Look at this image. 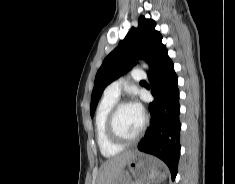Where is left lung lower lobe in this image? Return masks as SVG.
<instances>
[{
  "label": "left lung lower lobe",
  "instance_id": "1",
  "mask_svg": "<svg viewBox=\"0 0 235 184\" xmlns=\"http://www.w3.org/2000/svg\"><path fill=\"white\" fill-rule=\"evenodd\" d=\"M149 80L154 96L149 104L151 125L138 149L163 160L174 180L180 157L179 90L173 63L162 43L152 60Z\"/></svg>",
  "mask_w": 235,
  "mask_h": 184
}]
</instances>
